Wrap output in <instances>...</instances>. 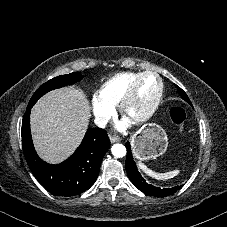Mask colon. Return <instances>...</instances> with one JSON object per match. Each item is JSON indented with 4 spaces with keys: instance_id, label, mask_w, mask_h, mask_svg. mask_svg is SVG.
Masks as SVG:
<instances>
[{
    "instance_id": "5ec220e1",
    "label": "colon",
    "mask_w": 227,
    "mask_h": 227,
    "mask_svg": "<svg viewBox=\"0 0 227 227\" xmlns=\"http://www.w3.org/2000/svg\"><path fill=\"white\" fill-rule=\"evenodd\" d=\"M170 118L176 125L183 126L187 120V113L183 108L174 106L170 110Z\"/></svg>"
}]
</instances>
